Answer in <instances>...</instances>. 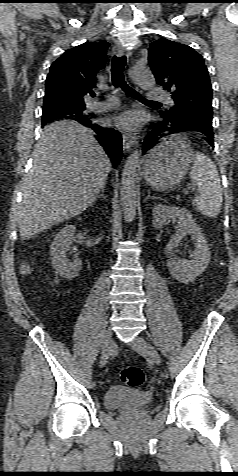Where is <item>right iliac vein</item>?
<instances>
[{
    "mask_svg": "<svg viewBox=\"0 0 238 476\" xmlns=\"http://www.w3.org/2000/svg\"><path fill=\"white\" fill-rule=\"evenodd\" d=\"M114 350V341L112 337V331L108 329L104 335L102 342V355L100 359V367H104Z\"/></svg>",
    "mask_w": 238,
    "mask_h": 476,
    "instance_id": "1",
    "label": "right iliac vein"
}]
</instances>
